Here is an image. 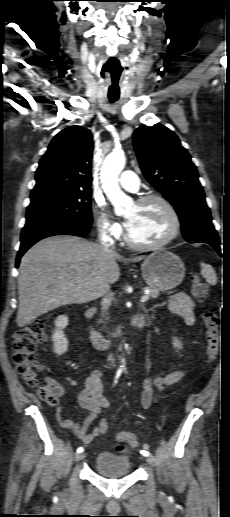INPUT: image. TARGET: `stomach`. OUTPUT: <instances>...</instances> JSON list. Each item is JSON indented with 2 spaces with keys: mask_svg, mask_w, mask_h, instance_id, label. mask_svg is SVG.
Segmentation results:
<instances>
[{
  "mask_svg": "<svg viewBox=\"0 0 230 517\" xmlns=\"http://www.w3.org/2000/svg\"><path fill=\"white\" fill-rule=\"evenodd\" d=\"M142 276L149 287L167 291L178 286L185 276L183 261L168 250L150 254L142 264Z\"/></svg>",
  "mask_w": 230,
  "mask_h": 517,
  "instance_id": "1",
  "label": "stomach"
}]
</instances>
